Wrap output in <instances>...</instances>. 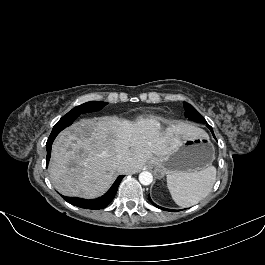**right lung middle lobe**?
I'll return each instance as SVG.
<instances>
[{
	"mask_svg": "<svg viewBox=\"0 0 265 265\" xmlns=\"http://www.w3.org/2000/svg\"><path fill=\"white\" fill-rule=\"evenodd\" d=\"M108 103L106 102H100V101H90L86 102L82 105H79L75 108H73L71 111H69L66 115H64L57 125H63L65 123H68L71 120L76 119L79 115L83 113L88 112H94L102 109L104 106H106Z\"/></svg>",
	"mask_w": 265,
	"mask_h": 265,
	"instance_id": "right-lung-middle-lobe-1",
	"label": "right lung middle lobe"
}]
</instances>
